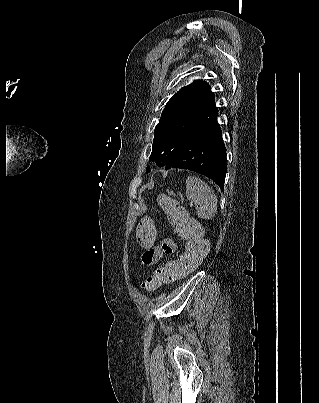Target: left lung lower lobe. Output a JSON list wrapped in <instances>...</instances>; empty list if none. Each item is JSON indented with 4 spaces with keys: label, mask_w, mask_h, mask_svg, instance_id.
<instances>
[{
    "label": "left lung lower lobe",
    "mask_w": 319,
    "mask_h": 403,
    "mask_svg": "<svg viewBox=\"0 0 319 403\" xmlns=\"http://www.w3.org/2000/svg\"><path fill=\"white\" fill-rule=\"evenodd\" d=\"M218 110L213 104L191 128L186 140L165 166L201 173L217 183L221 190L227 171L226 148L217 122Z\"/></svg>",
    "instance_id": "obj_1"
}]
</instances>
